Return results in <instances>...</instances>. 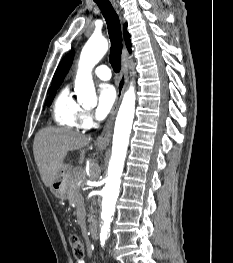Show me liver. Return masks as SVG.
<instances>
[{"label":"liver","mask_w":233,"mask_h":263,"mask_svg":"<svg viewBox=\"0 0 233 263\" xmlns=\"http://www.w3.org/2000/svg\"><path fill=\"white\" fill-rule=\"evenodd\" d=\"M90 141L89 136L64 128H44L37 133L33 152L46 187H51L61 171L67 152L83 148Z\"/></svg>","instance_id":"liver-1"}]
</instances>
